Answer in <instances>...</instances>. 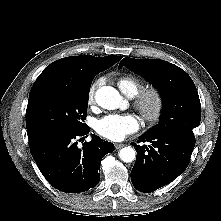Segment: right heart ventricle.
Segmentation results:
<instances>
[{
	"label": "right heart ventricle",
	"instance_id": "obj_1",
	"mask_svg": "<svg viewBox=\"0 0 221 221\" xmlns=\"http://www.w3.org/2000/svg\"><path fill=\"white\" fill-rule=\"evenodd\" d=\"M120 90L129 97L136 96L142 89V82L132 75H125L118 79Z\"/></svg>",
	"mask_w": 221,
	"mask_h": 221
}]
</instances>
